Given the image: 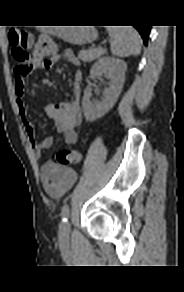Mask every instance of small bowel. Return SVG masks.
<instances>
[{"label":"small bowel","instance_id":"c3829d8e","mask_svg":"<svg viewBox=\"0 0 184 292\" xmlns=\"http://www.w3.org/2000/svg\"><path fill=\"white\" fill-rule=\"evenodd\" d=\"M65 60L75 66L79 64L78 59L71 49L64 50L61 54H55L43 62H37L33 68L51 69L60 61ZM30 71V70H29ZM28 71V72H29ZM27 73L15 71V95L18 112L25 132L30 140L34 155L40 157L42 152L53 145L51 138L36 141L34 124L29 120L26 102L24 99L25 77ZM82 72L75 73L72 84V100L66 103L47 104L45 112L56 125L57 130L63 135L66 144H75L78 140L77 127L82 122L80 107ZM77 170L71 166L60 165L53 161H47L42 166L41 182L45 192L53 197L60 198L68 192L77 180Z\"/></svg>","mask_w":184,"mask_h":292}]
</instances>
